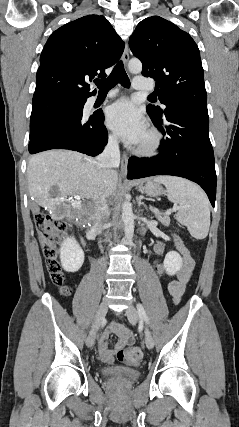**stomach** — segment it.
<instances>
[{
	"instance_id": "stomach-1",
	"label": "stomach",
	"mask_w": 239,
	"mask_h": 427,
	"mask_svg": "<svg viewBox=\"0 0 239 427\" xmlns=\"http://www.w3.org/2000/svg\"><path fill=\"white\" fill-rule=\"evenodd\" d=\"M137 188L141 193L150 197L160 196L164 192L160 184L149 179L138 182Z\"/></svg>"
}]
</instances>
